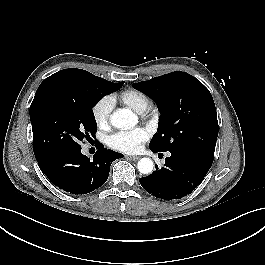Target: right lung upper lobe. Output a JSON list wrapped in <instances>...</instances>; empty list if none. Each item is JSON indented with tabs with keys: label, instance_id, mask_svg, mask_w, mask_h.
I'll return each mask as SVG.
<instances>
[{
	"label": "right lung upper lobe",
	"instance_id": "right-lung-upper-lobe-1",
	"mask_svg": "<svg viewBox=\"0 0 265 265\" xmlns=\"http://www.w3.org/2000/svg\"><path fill=\"white\" fill-rule=\"evenodd\" d=\"M81 72V69H64L46 78L42 83L55 82L70 88H77L81 85V79L79 77Z\"/></svg>",
	"mask_w": 265,
	"mask_h": 265
}]
</instances>
